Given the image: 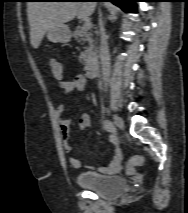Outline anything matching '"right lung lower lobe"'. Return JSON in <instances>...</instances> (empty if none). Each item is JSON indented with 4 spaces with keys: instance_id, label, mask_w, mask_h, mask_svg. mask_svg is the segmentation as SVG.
I'll list each match as a JSON object with an SVG mask.
<instances>
[{
    "instance_id": "obj_1",
    "label": "right lung lower lobe",
    "mask_w": 188,
    "mask_h": 213,
    "mask_svg": "<svg viewBox=\"0 0 188 213\" xmlns=\"http://www.w3.org/2000/svg\"><path fill=\"white\" fill-rule=\"evenodd\" d=\"M75 1V0H74ZM90 1H107L112 2L113 4L119 6L124 11H130L135 8L134 2H137L138 0H90Z\"/></svg>"
}]
</instances>
